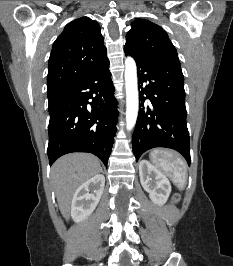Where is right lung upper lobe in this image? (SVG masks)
Returning <instances> with one entry per match:
<instances>
[{
	"mask_svg": "<svg viewBox=\"0 0 233 266\" xmlns=\"http://www.w3.org/2000/svg\"><path fill=\"white\" fill-rule=\"evenodd\" d=\"M108 61L99 24L88 17L70 22L52 47L48 93L62 91Z\"/></svg>",
	"mask_w": 233,
	"mask_h": 266,
	"instance_id": "1",
	"label": "right lung upper lobe"
}]
</instances>
